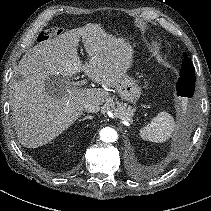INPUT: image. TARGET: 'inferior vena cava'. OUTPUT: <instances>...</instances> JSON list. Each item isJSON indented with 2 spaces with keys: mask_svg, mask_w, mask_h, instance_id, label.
Instances as JSON below:
<instances>
[{
  "mask_svg": "<svg viewBox=\"0 0 211 211\" xmlns=\"http://www.w3.org/2000/svg\"><path fill=\"white\" fill-rule=\"evenodd\" d=\"M84 111L87 113H95L98 111V107L92 103H87L84 105Z\"/></svg>",
  "mask_w": 211,
  "mask_h": 211,
  "instance_id": "inferior-vena-cava-1",
  "label": "inferior vena cava"
}]
</instances>
